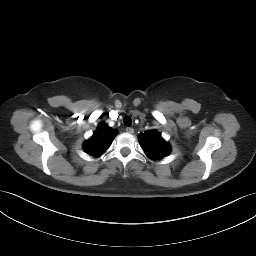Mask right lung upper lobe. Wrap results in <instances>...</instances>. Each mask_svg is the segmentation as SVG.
Returning a JSON list of instances; mask_svg holds the SVG:
<instances>
[{"label": "right lung upper lobe", "mask_w": 256, "mask_h": 256, "mask_svg": "<svg viewBox=\"0 0 256 256\" xmlns=\"http://www.w3.org/2000/svg\"><path fill=\"white\" fill-rule=\"evenodd\" d=\"M116 134L117 131L115 129L100 123L92 137L85 142L84 150L92 156H98L109 148Z\"/></svg>", "instance_id": "obj_1"}]
</instances>
